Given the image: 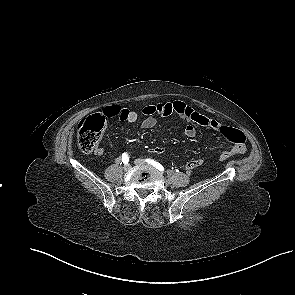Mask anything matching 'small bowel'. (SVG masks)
Wrapping results in <instances>:
<instances>
[{"label": "small bowel", "instance_id": "small-bowel-1", "mask_svg": "<svg viewBox=\"0 0 295 295\" xmlns=\"http://www.w3.org/2000/svg\"><path fill=\"white\" fill-rule=\"evenodd\" d=\"M141 111L145 116L140 125L142 129L147 130L153 128L157 123V116L177 115L186 122L184 135L187 138L195 137L198 127L211 129L222 135H224L223 129L228 127L215 119L199 113L182 101L149 104L144 106ZM103 114L108 118H117L129 123H134L138 120L137 112L118 105L105 107ZM103 154V148H97L95 150L96 156H102ZM202 164L203 160L201 158L191 159L185 164V168L187 170H193Z\"/></svg>", "mask_w": 295, "mask_h": 295}]
</instances>
